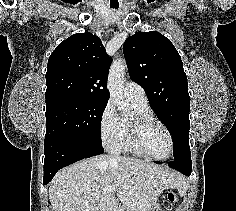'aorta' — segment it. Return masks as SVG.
<instances>
[{
    "mask_svg": "<svg viewBox=\"0 0 236 211\" xmlns=\"http://www.w3.org/2000/svg\"><path fill=\"white\" fill-rule=\"evenodd\" d=\"M126 62L122 59L113 61L108 76V90L111 99L116 103L118 110L127 111L128 104L123 96V80L125 75Z\"/></svg>",
    "mask_w": 236,
    "mask_h": 211,
    "instance_id": "762f6f07",
    "label": "aorta"
}]
</instances>
